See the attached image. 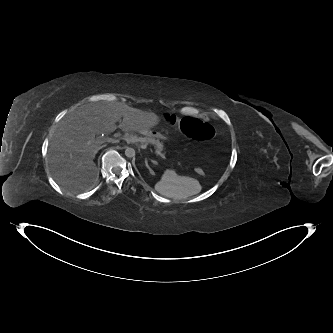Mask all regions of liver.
Instances as JSON below:
<instances>
[{"label":"liver","instance_id":"liver-1","mask_svg":"<svg viewBox=\"0 0 333 333\" xmlns=\"http://www.w3.org/2000/svg\"><path fill=\"white\" fill-rule=\"evenodd\" d=\"M118 121L122 131L137 132L156 126L160 119L154 112L103 101L80 106L60 121L48 150V163L60 186L81 191L96 183L99 173L94 157L102 142L95 136L113 133Z\"/></svg>","mask_w":333,"mask_h":333}]
</instances>
